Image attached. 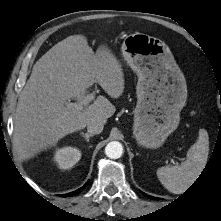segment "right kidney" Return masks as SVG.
Instances as JSON below:
<instances>
[{"instance_id":"ca27d5eb","label":"right kidney","mask_w":221,"mask_h":221,"mask_svg":"<svg viewBox=\"0 0 221 221\" xmlns=\"http://www.w3.org/2000/svg\"><path fill=\"white\" fill-rule=\"evenodd\" d=\"M81 158V151L78 148L65 146L54 153V161L60 169L73 167Z\"/></svg>"}]
</instances>
